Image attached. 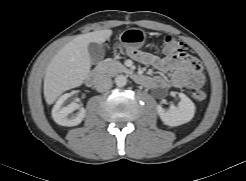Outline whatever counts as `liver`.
<instances>
[{
    "label": "liver",
    "instance_id": "liver-1",
    "mask_svg": "<svg viewBox=\"0 0 246 181\" xmlns=\"http://www.w3.org/2000/svg\"><path fill=\"white\" fill-rule=\"evenodd\" d=\"M109 29L82 34L63 46L47 66L44 77V97L53 104L65 91L83 84L90 72V43H103L110 38Z\"/></svg>",
    "mask_w": 246,
    "mask_h": 181
}]
</instances>
